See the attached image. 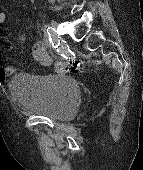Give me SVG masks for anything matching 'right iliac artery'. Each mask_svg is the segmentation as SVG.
<instances>
[{"instance_id":"1","label":"right iliac artery","mask_w":143,"mask_h":170,"mask_svg":"<svg viewBox=\"0 0 143 170\" xmlns=\"http://www.w3.org/2000/svg\"><path fill=\"white\" fill-rule=\"evenodd\" d=\"M45 33L49 37V40L52 43L53 48H58V46L60 45V40H58L56 37L53 36V28L47 27L45 29ZM52 37H53V40H52Z\"/></svg>"}]
</instances>
